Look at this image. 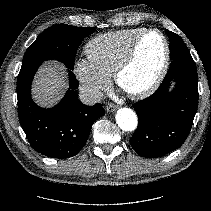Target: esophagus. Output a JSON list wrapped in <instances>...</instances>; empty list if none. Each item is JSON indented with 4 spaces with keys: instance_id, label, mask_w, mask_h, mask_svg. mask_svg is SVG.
Wrapping results in <instances>:
<instances>
[{
    "instance_id": "1",
    "label": "esophagus",
    "mask_w": 211,
    "mask_h": 211,
    "mask_svg": "<svg viewBox=\"0 0 211 211\" xmlns=\"http://www.w3.org/2000/svg\"><path fill=\"white\" fill-rule=\"evenodd\" d=\"M117 108H118L117 105L109 104V105H107L106 110H107V112L111 113V112H114Z\"/></svg>"
}]
</instances>
